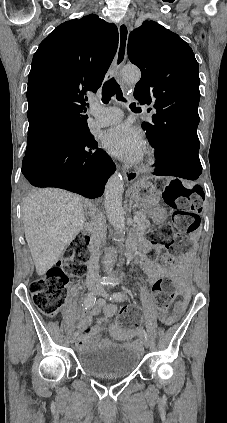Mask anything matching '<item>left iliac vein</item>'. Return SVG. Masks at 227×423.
<instances>
[{
    "mask_svg": "<svg viewBox=\"0 0 227 423\" xmlns=\"http://www.w3.org/2000/svg\"><path fill=\"white\" fill-rule=\"evenodd\" d=\"M98 294L101 295L102 297L110 300L108 293L104 289H99ZM144 345H145V347L148 348L150 346V342L148 340H144Z\"/></svg>",
    "mask_w": 227,
    "mask_h": 423,
    "instance_id": "left-iliac-vein-1",
    "label": "left iliac vein"
}]
</instances>
